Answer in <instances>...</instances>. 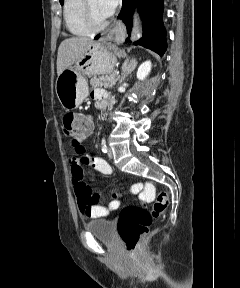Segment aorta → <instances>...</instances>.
<instances>
[{"mask_svg": "<svg viewBox=\"0 0 240 288\" xmlns=\"http://www.w3.org/2000/svg\"><path fill=\"white\" fill-rule=\"evenodd\" d=\"M134 39H138L140 38V34L136 31V29H134L133 31V36H132Z\"/></svg>", "mask_w": 240, "mask_h": 288, "instance_id": "1", "label": "aorta"}]
</instances>
